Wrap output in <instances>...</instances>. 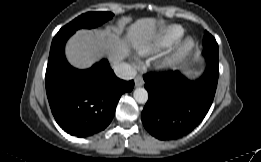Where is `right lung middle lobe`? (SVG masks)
Masks as SVG:
<instances>
[{"instance_id":"1","label":"right lung middle lobe","mask_w":261,"mask_h":162,"mask_svg":"<svg viewBox=\"0 0 261 162\" xmlns=\"http://www.w3.org/2000/svg\"><path fill=\"white\" fill-rule=\"evenodd\" d=\"M113 15L111 12H88L82 14L62 27L57 34H73L80 28H95L111 19Z\"/></svg>"}]
</instances>
